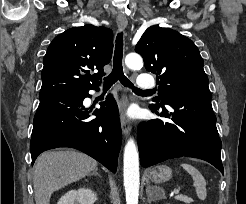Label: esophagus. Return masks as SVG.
<instances>
[{
    "mask_svg": "<svg viewBox=\"0 0 246 204\" xmlns=\"http://www.w3.org/2000/svg\"><path fill=\"white\" fill-rule=\"evenodd\" d=\"M116 21H117L118 28L120 30L125 29L128 25V20L124 15H119ZM120 124L123 134L125 136L128 135L131 131V124L129 120L126 118L123 110L121 111V115H120Z\"/></svg>",
    "mask_w": 246,
    "mask_h": 204,
    "instance_id": "obj_1",
    "label": "esophagus"
}]
</instances>
